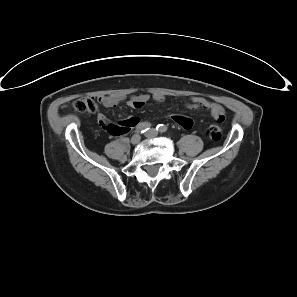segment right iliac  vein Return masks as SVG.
Here are the masks:
<instances>
[{
	"mask_svg": "<svg viewBox=\"0 0 297 297\" xmlns=\"http://www.w3.org/2000/svg\"><path fill=\"white\" fill-rule=\"evenodd\" d=\"M140 139H141L140 135L139 134H135L131 138V143L133 145H136V144H138L140 142Z\"/></svg>",
	"mask_w": 297,
	"mask_h": 297,
	"instance_id": "obj_1",
	"label": "right iliac vein"
}]
</instances>
